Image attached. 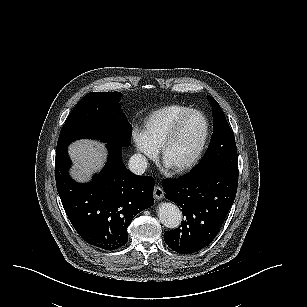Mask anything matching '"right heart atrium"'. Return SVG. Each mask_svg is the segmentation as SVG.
I'll return each mask as SVG.
<instances>
[{"label": "right heart atrium", "mask_w": 307, "mask_h": 307, "mask_svg": "<svg viewBox=\"0 0 307 307\" xmlns=\"http://www.w3.org/2000/svg\"><path fill=\"white\" fill-rule=\"evenodd\" d=\"M138 154L141 157L148 158L154 154L155 148L152 144L151 137L148 134L142 133L135 140Z\"/></svg>", "instance_id": "right-heart-atrium-1"}]
</instances>
